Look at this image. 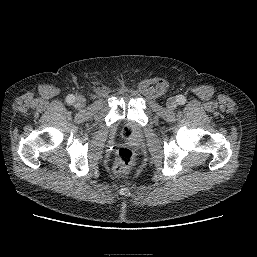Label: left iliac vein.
Here are the masks:
<instances>
[{"label":"left iliac vein","mask_w":257,"mask_h":257,"mask_svg":"<svg viewBox=\"0 0 257 257\" xmlns=\"http://www.w3.org/2000/svg\"><path fill=\"white\" fill-rule=\"evenodd\" d=\"M177 105V101L173 97L169 98L166 102V106L169 110H174L177 107Z\"/></svg>","instance_id":"1"}]
</instances>
